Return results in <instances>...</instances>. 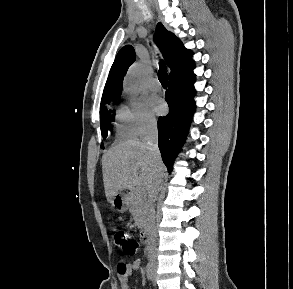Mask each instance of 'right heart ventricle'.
Instances as JSON below:
<instances>
[{
	"instance_id": "obj_1",
	"label": "right heart ventricle",
	"mask_w": 293,
	"mask_h": 289,
	"mask_svg": "<svg viewBox=\"0 0 293 289\" xmlns=\"http://www.w3.org/2000/svg\"><path fill=\"white\" fill-rule=\"evenodd\" d=\"M115 132L119 139H130L135 137L129 114L125 108L117 110Z\"/></svg>"
}]
</instances>
